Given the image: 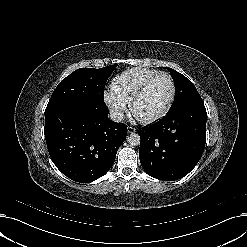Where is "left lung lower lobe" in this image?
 Returning <instances> with one entry per match:
<instances>
[{"label": "left lung lower lobe", "mask_w": 247, "mask_h": 247, "mask_svg": "<svg viewBox=\"0 0 247 247\" xmlns=\"http://www.w3.org/2000/svg\"><path fill=\"white\" fill-rule=\"evenodd\" d=\"M206 121L204 103L197 99L139 130V157L145 172L164 181L186 176L203 154Z\"/></svg>", "instance_id": "left-lung-lower-lobe-1"}]
</instances>
